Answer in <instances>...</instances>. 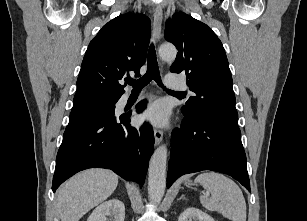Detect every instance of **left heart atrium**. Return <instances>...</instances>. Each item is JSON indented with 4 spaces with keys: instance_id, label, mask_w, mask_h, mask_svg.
I'll use <instances>...</instances> for the list:
<instances>
[{
    "instance_id": "left-heart-atrium-1",
    "label": "left heart atrium",
    "mask_w": 307,
    "mask_h": 221,
    "mask_svg": "<svg viewBox=\"0 0 307 221\" xmlns=\"http://www.w3.org/2000/svg\"><path fill=\"white\" fill-rule=\"evenodd\" d=\"M143 117L153 125L165 126L168 123L169 108L165 102L156 101L147 108Z\"/></svg>"
}]
</instances>
